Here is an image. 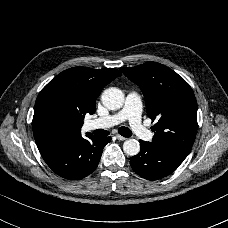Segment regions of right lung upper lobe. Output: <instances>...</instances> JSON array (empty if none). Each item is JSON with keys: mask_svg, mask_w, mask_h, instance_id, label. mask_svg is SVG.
<instances>
[{"mask_svg": "<svg viewBox=\"0 0 228 228\" xmlns=\"http://www.w3.org/2000/svg\"><path fill=\"white\" fill-rule=\"evenodd\" d=\"M121 73L116 69H89L74 67L58 74L40 92L38 98L47 95H58L71 107L76 121L60 135H47L33 127V134L39 149L63 139L81 135V126L86 113L95 112V101L101 90Z\"/></svg>", "mask_w": 228, "mask_h": 228, "instance_id": "cb5924a9", "label": "right lung upper lobe"}]
</instances>
